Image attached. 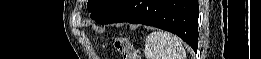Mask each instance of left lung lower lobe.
Returning a JSON list of instances; mask_svg holds the SVG:
<instances>
[{"instance_id":"1","label":"left lung lower lobe","mask_w":261,"mask_h":59,"mask_svg":"<svg viewBox=\"0 0 261 59\" xmlns=\"http://www.w3.org/2000/svg\"><path fill=\"white\" fill-rule=\"evenodd\" d=\"M197 0H119L97 23L129 22L170 31L198 47Z\"/></svg>"}]
</instances>
